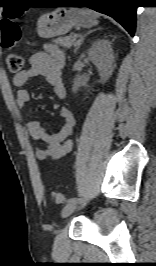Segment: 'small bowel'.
Wrapping results in <instances>:
<instances>
[{
  "label": "small bowel",
  "mask_w": 156,
  "mask_h": 266,
  "mask_svg": "<svg viewBox=\"0 0 156 266\" xmlns=\"http://www.w3.org/2000/svg\"><path fill=\"white\" fill-rule=\"evenodd\" d=\"M29 62V68L13 77L14 86L19 88L16 95L17 106L24 108L29 103L30 93L23 86L35 78L45 79L52 86L53 92L58 98H65L66 89L62 78L65 64L63 53L56 46L46 45L45 50L33 54ZM60 115L64 120L63 126L52 133H48L47 128L39 121L27 122V131L30 136L45 144L44 147L37 148L35 151L39 160H60L72 150L73 142L69 136L75 127V117L71 109L65 105L60 108Z\"/></svg>",
  "instance_id": "obj_1"
}]
</instances>
